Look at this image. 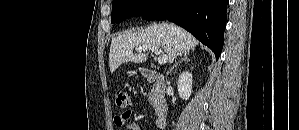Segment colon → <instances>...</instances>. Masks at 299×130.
I'll list each match as a JSON object with an SVG mask.
<instances>
[{
	"label": "colon",
	"instance_id": "5ec220e1",
	"mask_svg": "<svg viewBox=\"0 0 299 130\" xmlns=\"http://www.w3.org/2000/svg\"><path fill=\"white\" fill-rule=\"evenodd\" d=\"M115 103L117 107L126 109L130 105V98L127 92L124 90H118L115 93Z\"/></svg>",
	"mask_w": 299,
	"mask_h": 130
}]
</instances>
